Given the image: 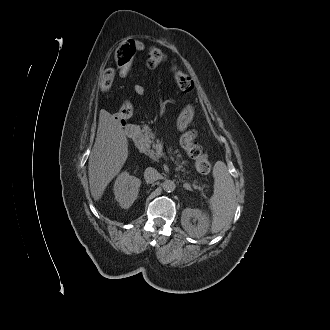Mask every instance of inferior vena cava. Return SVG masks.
<instances>
[{"label": "inferior vena cava", "instance_id": "obj_1", "mask_svg": "<svg viewBox=\"0 0 330 330\" xmlns=\"http://www.w3.org/2000/svg\"><path fill=\"white\" fill-rule=\"evenodd\" d=\"M160 178L158 171L152 167L146 168L144 171V179L147 183H153Z\"/></svg>", "mask_w": 330, "mask_h": 330}]
</instances>
